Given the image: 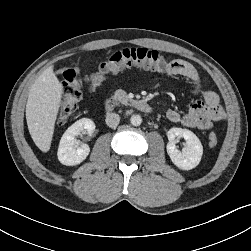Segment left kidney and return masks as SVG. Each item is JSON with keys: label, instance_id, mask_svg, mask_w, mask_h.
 Here are the masks:
<instances>
[{"label": "left kidney", "instance_id": "1", "mask_svg": "<svg viewBox=\"0 0 251 251\" xmlns=\"http://www.w3.org/2000/svg\"><path fill=\"white\" fill-rule=\"evenodd\" d=\"M168 144L167 153L171 161L179 169L191 170L195 168L201 160L203 147L199 138L190 130L173 127L167 132ZM184 138L186 144L182 151L176 148L178 138Z\"/></svg>", "mask_w": 251, "mask_h": 251}]
</instances>
